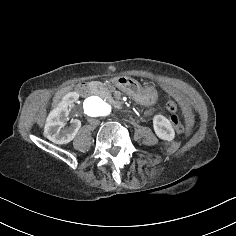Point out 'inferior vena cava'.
<instances>
[{"label": "inferior vena cava", "instance_id": "obj_1", "mask_svg": "<svg viewBox=\"0 0 236 236\" xmlns=\"http://www.w3.org/2000/svg\"><path fill=\"white\" fill-rule=\"evenodd\" d=\"M88 124H91L92 126L99 125L100 121L99 120H93V119H88Z\"/></svg>", "mask_w": 236, "mask_h": 236}]
</instances>
